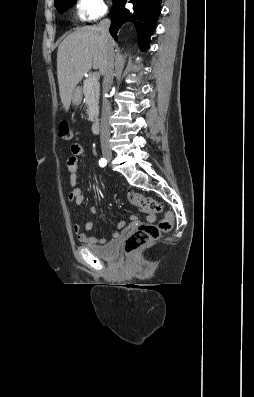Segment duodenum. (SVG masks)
Masks as SVG:
<instances>
[{
    "label": "duodenum",
    "mask_w": 254,
    "mask_h": 397,
    "mask_svg": "<svg viewBox=\"0 0 254 397\" xmlns=\"http://www.w3.org/2000/svg\"><path fill=\"white\" fill-rule=\"evenodd\" d=\"M91 130H92V132H93L94 134L99 133V131H100V122H99V120L95 119V120L92 122Z\"/></svg>",
    "instance_id": "1"
}]
</instances>
